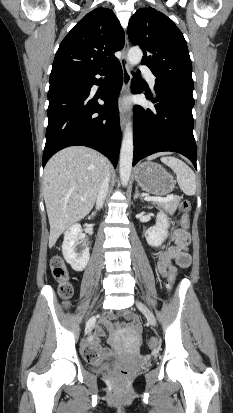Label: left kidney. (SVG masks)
<instances>
[{
    "label": "left kidney",
    "mask_w": 233,
    "mask_h": 413,
    "mask_svg": "<svg viewBox=\"0 0 233 413\" xmlns=\"http://www.w3.org/2000/svg\"><path fill=\"white\" fill-rule=\"evenodd\" d=\"M170 226L169 218L164 213H158L156 224L148 228L145 232V238L150 246H160L168 236Z\"/></svg>",
    "instance_id": "obj_1"
}]
</instances>
